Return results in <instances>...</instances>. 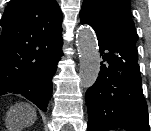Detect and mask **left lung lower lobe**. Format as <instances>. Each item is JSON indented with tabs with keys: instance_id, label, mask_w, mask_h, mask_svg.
Returning <instances> with one entry per match:
<instances>
[{
	"instance_id": "0a47b994",
	"label": "left lung lower lobe",
	"mask_w": 151,
	"mask_h": 131,
	"mask_svg": "<svg viewBox=\"0 0 151 131\" xmlns=\"http://www.w3.org/2000/svg\"><path fill=\"white\" fill-rule=\"evenodd\" d=\"M94 30L102 62L99 77L85 96L88 131H150L137 61L126 56L105 33Z\"/></svg>"
}]
</instances>
